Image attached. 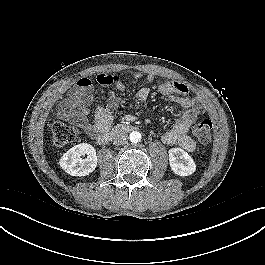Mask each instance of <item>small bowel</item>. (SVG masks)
<instances>
[{"mask_svg": "<svg viewBox=\"0 0 265 265\" xmlns=\"http://www.w3.org/2000/svg\"><path fill=\"white\" fill-rule=\"evenodd\" d=\"M133 77L139 80L143 77L142 73L136 72ZM147 83L154 82V76L148 74L146 76ZM102 84H113L118 91L125 90V84L118 75L103 76L100 79ZM158 91L160 94L170 98L171 101L180 105L185 109L181 117L162 135V140L166 144L179 145L187 152L195 150L194 140L188 136L189 127L197 117L204 113V105L200 99L187 95V87L177 81H164L159 84ZM93 91L92 83L89 78H80L75 86L68 92L66 98L61 102L60 113L71 123L81 127L89 136L103 131L110 127L112 118L110 111L115 108L118 103V97L112 93L106 106H100L92 112L90 103ZM150 96L148 87L140 88L136 93V100L144 102ZM93 113V122L89 121V116Z\"/></svg>", "mask_w": 265, "mask_h": 265, "instance_id": "1", "label": "small bowel"}]
</instances>
